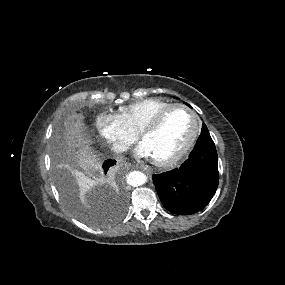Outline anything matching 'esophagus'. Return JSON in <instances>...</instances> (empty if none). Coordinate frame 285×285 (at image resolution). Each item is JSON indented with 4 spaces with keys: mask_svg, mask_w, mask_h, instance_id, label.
Here are the masks:
<instances>
[{
    "mask_svg": "<svg viewBox=\"0 0 285 285\" xmlns=\"http://www.w3.org/2000/svg\"><path fill=\"white\" fill-rule=\"evenodd\" d=\"M141 170H143L144 172L148 174L152 173V169L149 166H142Z\"/></svg>",
    "mask_w": 285,
    "mask_h": 285,
    "instance_id": "1",
    "label": "esophagus"
}]
</instances>
